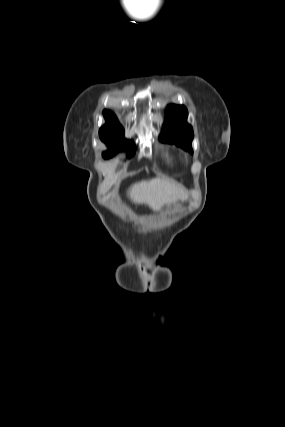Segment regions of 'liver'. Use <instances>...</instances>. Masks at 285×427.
Returning <instances> with one entry per match:
<instances>
[{"instance_id":"6515ba94","label":"liver","mask_w":285,"mask_h":427,"mask_svg":"<svg viewBox=\"0 0 285 427\" xmlns=\"http://www.w3.org/2000/svg\"><path fill=\"white\" fill-rule=\"evenodd\" d=\"M128 196L136 204L148 205L159 211L165 204H174L188 197V192L169 179L152 178L133 184Z\"/></svg>"}]
</instances>
